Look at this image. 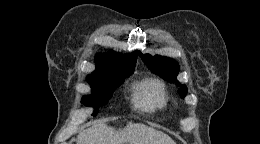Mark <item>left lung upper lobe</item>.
I'll use <instances>...</instances> for the list:
<instances>
[{
  "label": "left lung upper lobe",
  "instance_id": "5c2ea615",
  "mask_svg": "<svg viewBox=\"0 0 260 144\" xmlns=\"http://www.w3.org/2000/svg\"><path fill=\"white\" fill-rule=\"evenodd\" d=\"M139 56L153 73L171 83L176 82L179 84V81L176 78L179 72V64L175 60L160 55L152 56L150 54H142L140 51ZM178 93L181 97H185L187 94V87L182 85L178 90Z\"/></svg>",
  "mask_w": 260,
  "mask_h": 144
}]
</instances>
